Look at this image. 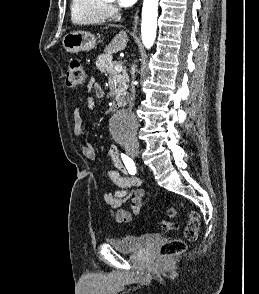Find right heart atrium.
<instances>
[{
	"instance_id": "1",
	"label": "right heart atrium",
	"mask_w": 259,
	"mask_h": 294,
	"mask_svg": "<svg viewBox=\"0 0 259 294\" xmlns=\"http://www.w3.org/2000/svg\"><path fill=\"white\" fill-rule=\"evenodd\" d=\"M116 11H117V9L113 4H111V3L106 4V12L108 14V17L114 16Z\"/></svg>"
}]
</instances>
